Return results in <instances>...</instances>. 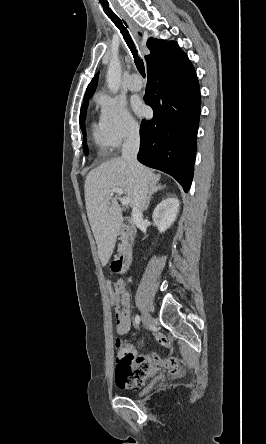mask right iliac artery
Segmentation results:
<instances>
[{"label":"right iliac artery","instance_id":"obj_1","mask_svg":"<svg viewBox=\"0 0 266 444\" xmlns=\"http://www.w3.org/2000/svg\"><path fill=\"white\" fill-rule=\"evenodd\" d=\"M134 321H135V326L138 327L140 324V316L136 315Z\"/></svg>","mask_w":266,"mask_h":444}]
</instances>
